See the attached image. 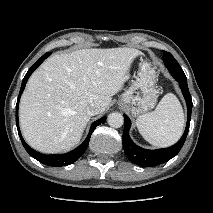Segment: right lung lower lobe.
<instances>
[{
	"instance_id": "1",
	"label": "right lung lower lobe",
	"mask_w": 213,
	"mask_h": 213,
	"mask_svg": "<svg viewBox=\"0 0 213 213\" xmlns=\"http://www.w3.org/2000/svg\"><path fill=\"white\" fill-rule=\"evenodd\" d=\"M50 55V53H46L44 54L35 64L32 65V67L28 70V72L26 73L23 81H22V85H21V89H20V93L18 96V100H17V104H16V125H17V129H18V133L20 136V139L22 141V144L24 146V148L26 149V151L36 160H38L39 162L48 165V166H52V167H59V166H67L69 164L74 163L76 160H78L82 154L85 152L88 144H89V140H90V136L93 133V131L95 130V128L100 125L103 124L106 120V116L102 117L101 119L95 121L90 128L89 134L86 137L85 141L75 150L67 153V154H62V155H45V154H41L35 150H33L32 148H30L27 143L24 141L20 129H19V120H18V104H19V99L20 96L25 88L26 82L29 78V76L32 74V72Z\"/></svg>"
}]
</instances>
